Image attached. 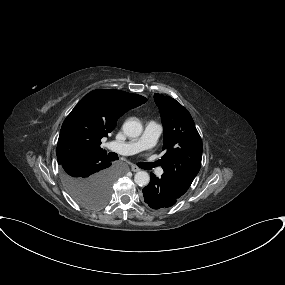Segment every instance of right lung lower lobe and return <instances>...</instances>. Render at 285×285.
<instances>
[{
  "mask_svg": "<svg viewBox=\"0 0 285 285\" xmlns=\"http://www.w3.org/2000/svg\"><path fill=\"white\" fill-rule=\"evenodd\" d=\"M111 161L106 152L89 153L62 163L61 168L69 177L83 180H111L114 179Z\"/></svg>",
  "mask_w": 285,
  "mask_h": 285,
  "instance_id": "1",
  "label": "right lung lower lobe"
}]
</instances>
